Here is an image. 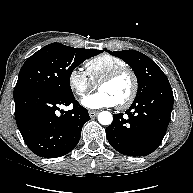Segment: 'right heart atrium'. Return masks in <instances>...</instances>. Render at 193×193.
<instances>
[{"instance_id":"1","label":"right heart atrium","mask_w":193,"mask_h":193,"mask_svg":"<svg viewBox=\"0 0 193 193\" xmlns=\"http://www.w3.org/2000/svg\"><path fill=\"white\" fill-rule=\"evenodd\" d=\"M68 85L78 97H83L96 88V84L90 79L86 71L80 68H74L70 71Z\"/></svg>"}]
</instances>
